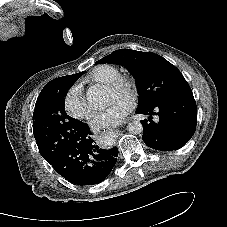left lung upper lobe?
Listing matches in <instances>:
<instances>
[{"instance_id": "left-lung-upper-lobe-1", "label": "left lung upper lobe", "mask_w": 227, "mask_h": 227, "mask_svg": "<svg viewBox=\"0 0 227 227\" xmlns=\"http://www.w3.org/2000/svg\"><path fill=\"white\" fill-rule=\"evenodd\" d=\"M124 66L134 77L139 94L138 109L161 101L193 96L181 72L163 57L131 49H119L95 64Z\"/></svg>"}]
</instances>
